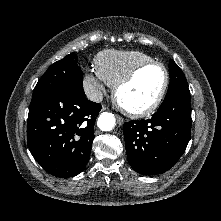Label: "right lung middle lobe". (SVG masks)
Here are the masks:
<instances>
[{"mask_svg": "<svg viewBox=\"0 0 221 221\" xmlns=\"http://www.w3.org/2000/svg\"><path fill=\"white\" fill-rule=\"evenodd\" d=\"M77 63L78 57L69 54L52 64L36 84L30 106L50 93L64 88L83 93V75Z\"/></svg>", "mask_w": 221, "mask_h": 221, "instance_id": "obj_1", "label": "right lung middle lobe"}]
</instances>
